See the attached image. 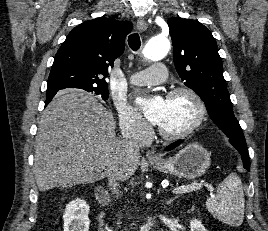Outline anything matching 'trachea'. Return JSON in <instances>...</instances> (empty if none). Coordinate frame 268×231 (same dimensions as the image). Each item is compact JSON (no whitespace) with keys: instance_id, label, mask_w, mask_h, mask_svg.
<instances>
[{"instance_id":"3493384b","label":"trachea","mask_w":268,"mask_h":231,"mask_svg":"<svg viewBox=\"0 0 268 231\" xmlns=\"http://www.w3.org/2000/svg\"><path fill=\"white\" fill-rule=\"evenodd\" d=\"M128 44L133 51H137L140 48L141 41L138 33H133L128 37Z\"/></svg>"}]
</instances>
